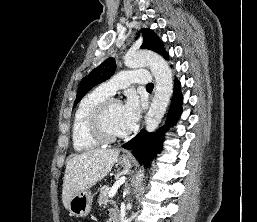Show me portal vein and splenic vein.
I'll list each match as a JSON object with an SVG mask.
<instances>
[{"mask_svg":"<svg viewBox=\"0 0 257 222\" xmlns=\"http://www.w3.org/2000/svg\"><path fill=\"white\" fill-rule=\"evenodd\" d=\"M125 181V178L118 180L112 187V189L109 192L108 197L112 198L116 193L118 187Z\"/></svg>","mask_w":257,"mask_h":222,"instance_id":"obj_1","label":"portal vein and splenic vein"}]
</instances>
